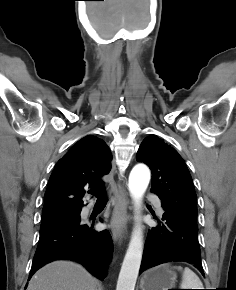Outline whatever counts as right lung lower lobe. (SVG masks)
<instances>
[{
    "mask_svg": "<svg viewBox=\"0 0 236 290\" xmlns=\"http://www.w3.org/2000/svg\"><path fill=\"white\" fill-rule=\"evenodd\" d=\"M112 251L109 232L94 231L93 224H80L78 221L40 233L29 279L43 265L56 259H68L83 264L89 272L103 280Z\"/></svg>",
    "mask_w": 236,
    "mask_h": 290,
    "instance_id": "right-lung-lower-lobe-1",
    "label": "right lung lower lobe"
}]
</instances>
